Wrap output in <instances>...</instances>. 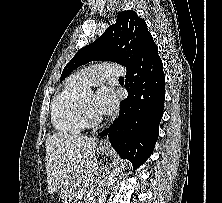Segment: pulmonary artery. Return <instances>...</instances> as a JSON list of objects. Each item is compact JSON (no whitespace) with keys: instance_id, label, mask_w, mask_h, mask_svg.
I'll list each match as a JSON object with an SVG mask.
<instances>
[{"instance_id":"pulmonary-artery-1","label":"pulmonary artery","mask_w":222,"mask_h":203,"mask_svg":"<svg viewBox=\"0 0 222 203\" xmlns=\"http://www.w3.org/2000/svg\"><path fill=\"white\" fill-rule=\"evenodd\" d=\"M126 73L123 66L118 64H97L75 73L72 78L83 87L95 86L109 77H122Z\"/></svg>"}]
</instances>
